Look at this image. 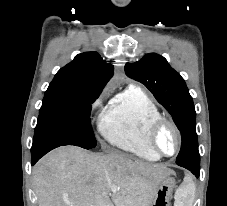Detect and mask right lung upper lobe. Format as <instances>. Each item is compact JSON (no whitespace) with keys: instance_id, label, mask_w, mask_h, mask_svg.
<instances>
[{"instance_id":"cb5924a9","label":"right lung upper lobe","mask_w":227,"mask_h":206,"mask_svg":"<svg viewBox=\"0 0 227 206\" xmlns=\"http://www.w3.org/2000/svg\"><path fill=\"white\" fill-rule=\"evenodd\" d=\"M113 72L97 52L81 53L56 73L48 89L100 95Z\"/></svg>"}]
</instances>
